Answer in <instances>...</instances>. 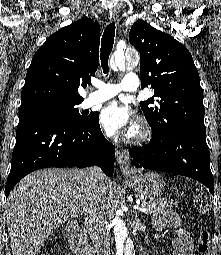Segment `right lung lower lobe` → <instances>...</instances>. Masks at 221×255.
I'll return each instance as SVG.
<instances>
[{
  "label": "right lung lower lobe",
  "mask_w": 221,
  "mask_h": 255,
  "mask_svg": "<svg viewBox=\"0 0 221 255\" xmlns=\"http://www.w3.org/2000/svg\"><path fill=\"white\" fill-rule=\"evenodd\" d=\"M114 161L115 147L103 136L98 114H92L87 122L79 125L51 115H20L5 195L37 169L97 165L110 177Z\"/></svg>",
  "instance_id": "98d812e1"
}]
</instances>
